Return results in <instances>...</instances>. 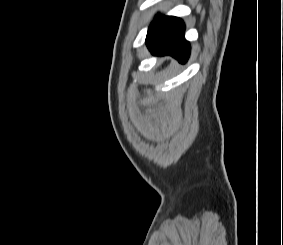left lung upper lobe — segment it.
Returning a JSON list of instances; mask_svg holds the SVG:
<instances>
[{"mask_svg": "<svg viewBox=\"0 0 283 245\" xmlns=\"http://www.w3.org/2000/svg\"><path fill=\"white\" fill-rule=\"evenodd\" d=\"M160 18H161V17L157 18L156 20H154V21L151 23V25H150L148 31L151 30V29L155 26V24L160 20Z\"/></svg>", "mask_w": 283, "mask_h": 245, "instance_id": "obj_1", "label": "left lung upper lobe"}]
</instances>
